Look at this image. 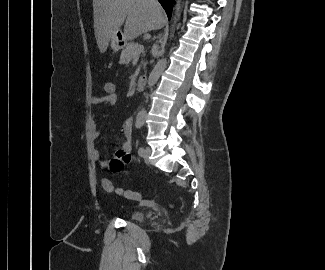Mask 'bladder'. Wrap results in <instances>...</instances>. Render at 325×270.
Instances as JSON below:
<instances>
[{
  "instance_id": "31cf9c89",
  "label": "bladder",
  "mask_w": 325,
  "mask_h": 270,
  "mask_svg": "<svg viewBox=\"0 0 325 270\" xmlns=\"http://www.w3.org/2000/svg\"><path fill=\"white\" fill-rule=\"evenodd\" d=\"M145 218V214L141 211H134L130 214V219L133 221H140Z\"/></svg>"
}]
</instances>
